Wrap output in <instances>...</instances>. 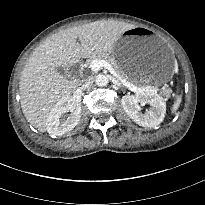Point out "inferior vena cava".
<instances>
[{"mask_svg":"<svg viewBox=\"0 0 205 205\" xmlns=\"http://www.w3.org/2000/svg\"><path fill=\"white\" fill-rule=\"evenodd\" d=\"M94 81L92 78H87L84 80L83 84L80 86V89L81 90H85V89H88L90 87H92Z\"/></svg>","mask_w":205,"mask_h":205,"instance_id":"inferior-vena-cava-1","label":"inferior vena cava"}]
</instances>
